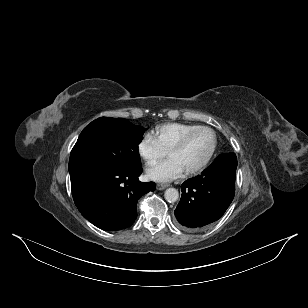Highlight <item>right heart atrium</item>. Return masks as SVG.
<instances>
[{
    "instance_id": "right-heart-atrium-1",
    "label": "right heart atrium",
    "mask_w": 308,
    "mask_h": 308,
    "mask_svg": "<svg viewBox=\"0 0 308 308\" xmlns=\"http://www.w3.org/2000/svg\"><path fill=\"white\" fill-rule=\"evenodd\" d=\"M137 153L147 166H152L166 154V151L153 135L145 134L137 144Z\"/></svg>"
}]
</instances>
